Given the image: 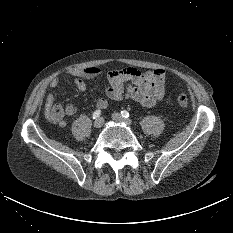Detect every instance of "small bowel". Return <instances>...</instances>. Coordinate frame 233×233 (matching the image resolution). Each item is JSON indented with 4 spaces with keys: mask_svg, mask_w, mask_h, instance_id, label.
Segmentation results:
<instances>
[{
    "mask_svg": "<svg viewBox=\"0 0 233 233\" xmlns=\"http://www.w3.org/2000/svg\"><path fill=\"white\" fill-rule=\"evenodd\" d=\"M70 74L73 76V83L79 91L86 90L87 80L104 78L108 84L106 95L112 101L128 98L144 107L151 108L161 101L165 94L166 75L162 69L142 70L130 66L106 70L101 67L91 66L71 70ZM59 85L60 80L58 78H54L50 82V87L52 88H56ZM108 99L99 98L96 102V107L102 110L108 108ZM76 110L73 104L63 106L57 102L56 95L51 93L46 98L44 115L49 122L59 127H65V116L74 115Z\"/></svg>",
    "mask_w": 233,
    "mask_h": 233,
    "instance_id": "obj_1",
    "label": "small bowel"
}]
</instances>
